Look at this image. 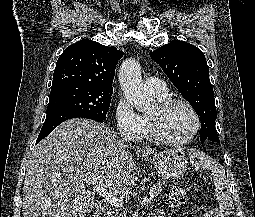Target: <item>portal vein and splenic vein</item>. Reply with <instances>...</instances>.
<instances>
[{
    "label": "portal vein and splenic vein",
    "mask_w": 255,
    "mask_h": 217,
    "mask_svg": "<svg viewBox=\"0 0 255 217\" xmlns=\"http://www.w3.org/2000/svg\"><path fill=\"white\" fill-rule=\"evenodd\" d=\"M92 190L94 192L99 193L102 197L105 198V200H107V202H109L111 205L115 206L116 208H122L123 207V201L121 199H118L115 195L111 194L106 188L100 186V185H96V184H91ZM154 195L151 192V194L146 197L142 202L141 205H147L151 202V200L153 199Z\"/></svg>",
    "instance_id": "portal-vein-and-splenic-vein-1"
}]
</instances>
